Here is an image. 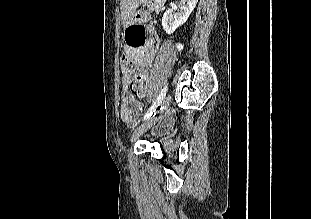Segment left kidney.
I'll list each match as a JSON object with an SVG mask.
<instances>
[{"instance_id": "1", "label": "left kidney", "mask_w": 311, "mask_h": 219, "mask_svg": "<svg viewBox=\"0 0 311 219\" xmlns=\"http://www.w3.org/2000/svg\"><path fill=\"white\" fill-rule=\"evenodd\" d=\"M197 2L198 0H185V5L176 13L172 9L166 10L162 17L164 31L167 34H172L179 26L183 25L196 7Z\"/></svg>"}]
</instances>
